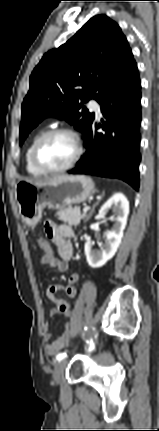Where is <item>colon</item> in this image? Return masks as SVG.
Segmentation results:
<instances>
[{
	"mask_svg": "<svg viewBox=\"0 0 159 431\" xmlns=\"http://www.w3.org/2000/svg\"><path fill=\"white\" fill-rule=\"evenodd\" d=\"M37 241H39V251L43 252L47 258L53 256V248L51 243L48 241L45 235L37 236ZM71 317V312L69 310L65 311V318L69 319Z\"/></svg>",
	"mask_w": 159,
	"mask_h": 431,
	"instance_id": "colon-1",
	"label": "colon"
}]
</instances>
